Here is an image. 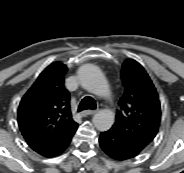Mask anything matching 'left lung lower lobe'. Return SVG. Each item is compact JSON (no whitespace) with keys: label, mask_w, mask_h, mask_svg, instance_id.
I'll use <instances>...</instances> for the list:
<instances>
[{"label":"left lung lower lobe","mask_w":184,"mask_h":173,"mask_svg":"<svg viewBox=\"0 0 184 173\" xmlns=\"http://www.w3.org/2000/svg\"><path fill=\"white\" fill-rule=\"evenodd\" d=\"M99 143L102 150L116 161L132 159L140 154L127 140L112 129L101 133Z\"/></svg>","instance_id":"0a47b994"}]
</instances>
